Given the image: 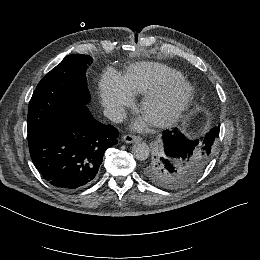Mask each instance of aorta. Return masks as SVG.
<instances>
[{
    "instance_id": "1",
    "label": "aorta",
    "mask_w": 260,
    "mask_h": 260,
    "mask_svg": "<svg viewBox=\"0 0 260 260\" xmlns=\"http://www.w3.org/2000/svg\"><path fill=\"white\" fill-rule=\"evenodd\" d=\"M132 154L137 160H146L150 155L149 146L144 142L135 143L132 146Z\"/></svg>"
}]
</instances>
